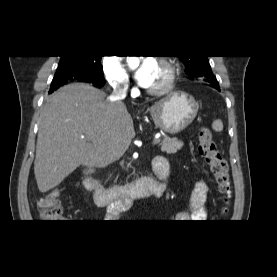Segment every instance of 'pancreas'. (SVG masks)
<instances>
[{"instance_id": "cf45deb5", "label": "pancreas", "mask_w": 277, "mask_h": 277, "mask_svg": "<svg viewBox=\"0 0 277 277\" xmlns=\"http://www.w3.org/2000/svg\"><path fill=\"white\" fill-rule=\"evenodd\" d=\"M159 145L161 146L162 152L175 154L183 147V142L179 141L177 138H169L165 136Z\"/></svg>"}]
</instances>
